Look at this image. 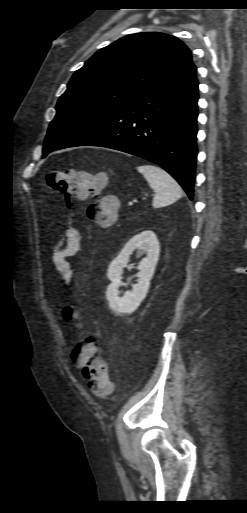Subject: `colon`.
<instances>
[{
    "mask_svg": "<svg viewBox=\"0 0 247 513\" xmlns=\"http://www.w3.org/2000/svg\"><path fill=\"white\" fill-rule=\"evenodd\" d=\"M104 183L103 177L75 169L51 171L44 177L45 186L59 192L66 202L74 198L90 199L96 189H100ZM115 212L116 202L112 196H105L87 207V217L104 228L116 222ZM72 316L71 309L65 308V317L71 318ZM102 351V343L90 338L75 340L69 348V357L74 361L75 371L87 380L90 391L99 397L108 396L113 389L107 365L100 358Z\"/></svg>",
    "mask_w": 247,
    "mask_h": 513,
    "instance_id": "colon-1",
    "label": "colon"
}]
</instances>
